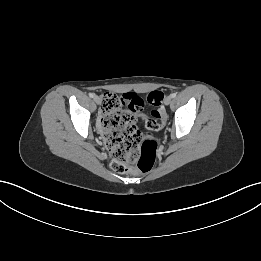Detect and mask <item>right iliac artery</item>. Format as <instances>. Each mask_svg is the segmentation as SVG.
I'll return each mask as SVG.
<instances>
[{"mask_svg": "<svg viewBox=\"0 0 261 261\" xmlns=\"http://www.w3.org/2000/svg\"><path fill=\"white\" fill-rule=\"evenodd\" d=\"M89 96H90L91 98H93V97L95 96V94H94V93H89Z\"/></svg>", "mask_w": 261, "mask_h": 261, "instance_id": "right-iliac-artery-1", "label": "right iliac artery"}]
</instances>
